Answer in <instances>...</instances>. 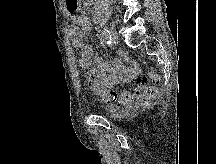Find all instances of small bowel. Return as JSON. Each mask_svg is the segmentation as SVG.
Masks as SVG:
<instances>
[{"label": "small bowel", "instance_id": "1", "mask_svg": "<svg viewBox=\"0 0 216 164\" xmlns=\"http://www.w3.org/2000/svg\"><path fill=\"white\" fill-rule=\"evenodd\" d=\"M89 29L90 21L85 14L74 17L69 29L73 46L79 48L78 65L87 71V77L92 78L95 84L102 88H111L133 79L138 73L136 63L124 65L120 61H114L109 64L101 55L94 54L90 45L84 43L85 34Z\"/></svg>", "mask_w": 216, "mask_h": 164}]
</instances>
